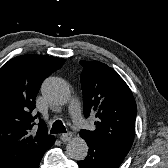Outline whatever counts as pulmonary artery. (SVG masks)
Segmentation results:
<instances>
[{"instance_id":"e3ab8cb5","label":"pulmonary artery","mask_w":168,"mask_h":168,"mask_svg":"<svg viewBox=\"0 0 168 168\" xmlns=\"http://www.w3.org/2000/svg\"><path fill=\"white\" fill-rule=\"evenodd\" d=\"M70 114L76 126L82 127L85 125V120L81 112V104L77 98H73L70 104Z\"/></svg>"}]
</instances>
